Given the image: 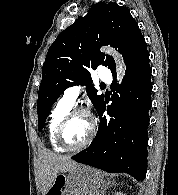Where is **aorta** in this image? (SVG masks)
I'll list each match as a JSON object with an SVG mask.
<instances>
[{"instance_id":"obj_1","label":"aorta","mask_w":178,"mask_h":195,"mask_svg":"<svg viewBox=\"0 0 178 195\" xmlns=\"http://www.w3.org/2000/svg\"><path fill=\"white\" fill-rule=\"evenodd\" d=\"M102 51L112 53V50H105V49H103ZM116 60H117V57H116ZM123 72H124L123 62H120V61L117 60V73H118L117 77H118V80H120L122 78Z\"/></svg>"}]
</instances>
